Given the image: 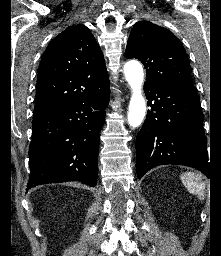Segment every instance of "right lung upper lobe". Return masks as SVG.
Returning a JSON list of instances; mask_svg holds the SVG:
<instances>
[{
    "label": "right lung upper lobe",
    "mask_w": 221,
    "mask_h": 256,
    "mask_svg": "<svg viewBox=\"0 0 221 256\" xmlns=\"http://www.w3.org/2000/svg\"><path fill=\"white\" fill-rule=\"evenodd\" d=\"M108 86L104 57L94 36L82 24L69 26L49 43L43 54L34 116L95 95Z\"/></svg>",
    "instance_id": "right-lung-upper-lobe-1"
}]
</instances>
